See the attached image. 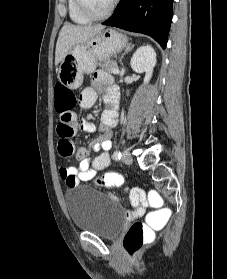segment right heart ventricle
<instances>
[{"instance_id": "e07e8e85", "label": "right heart ventricle", "mask_w": 227, "mask_h": 279, "mask_svg": "<svg viewBox=\"0 0 227 279\" xmlns=\"http://www.w3.org/2000/svg\"><path fill=\"white\" fill-rule=\"evenodd\" d=\"M67 9L69 18L72 22L76 24H88L90 22L89 19H87L80 13L76 4V0H67Z\"/></svg>"}]
</instances>
